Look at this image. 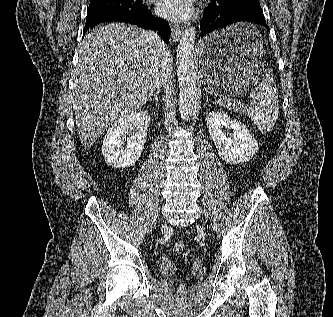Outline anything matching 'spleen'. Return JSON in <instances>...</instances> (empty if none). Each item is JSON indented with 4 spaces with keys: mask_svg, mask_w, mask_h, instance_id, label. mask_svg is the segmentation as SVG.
Masks as SVG:
<instances>
[{
    "mask_svg": "<svg viewBox=\"0 0 333 317\" xmlns=\"http://www.w3.org/2000/svg\"><path fill=\"white\" fill-rule=\"evenodd\" d=\"M259 31L253 27V32L249 37L256 39ZM261 36V35H260ZM251 104L243 106L247 115L256 124L258 129L263 133H269L275 125L278 118V91L275 80L271 73H266L259 85L251 91Z\"/></svg>",
    "mask_w": 333,
    "mask_h": 317,
    "instance_id": "1",
    "label": "spleen"
}]
</instances>
